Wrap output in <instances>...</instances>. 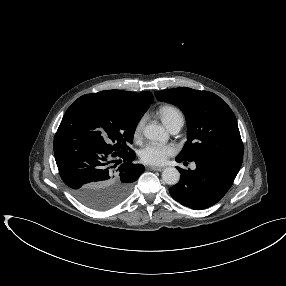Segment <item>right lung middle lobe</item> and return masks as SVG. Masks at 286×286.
Segmentation results:
<instances>
[{
	"instance_id": "right-lung-middle-lobe-1",
	"label": "right lung middle lobe",
	"mask_w": 286,
	"mask_h": 286,
	"mask_svg": "<svg viewBox=\"0 0 286 286\" xmlns=\"http://www.w3.org/2000/svg\"><path fill=\"white\" fill-rule=\"evenodd\" d=\"M146 110L104 96L86 94L66 111L62 123L109 155L125 154L136 126Z\"/></svg>"
}]
</instances>
